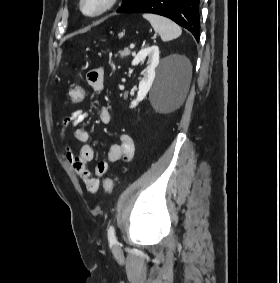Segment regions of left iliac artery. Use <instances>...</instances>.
Here are the masks:
<instances>
[{"label": "left iliac artery", "mask_w": 280, "mask_h": 283, "mask_svg": "<svg viewBox=\"0 0 280 283\" xmlns=\"http://www.w3.org/2000/svg\"><path fill=\"white\" fill-rule=\"evenodd\" d=\"M108 240L111 244L116 243L115 229L113 226H110L108 229Z\"/></svg>", "instance_id": "obj_1"}]
</instances>
